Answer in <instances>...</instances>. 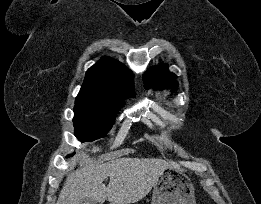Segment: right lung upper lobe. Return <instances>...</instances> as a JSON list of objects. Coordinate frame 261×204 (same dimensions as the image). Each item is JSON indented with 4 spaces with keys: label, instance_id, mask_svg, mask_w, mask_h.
Wrapping results in <instances>:
<instances>
[{
    "label": "right lung upper lobe",
    "instance_id": "cb5924a9",
    "mask_svg": "<svg viewBox=\"0 0 261 204\" xmlns=\"http://www.w3.org/2000/svg\"><path fill=\"white\" fill-rule=\"evenodd\" d=\"M133 76L119 61L103 57L86 72L76 99L97 105L122 106L125 98L134 96Z\"/></svg>",
    "mask_w": 261,
    "mask_h": 204
}]
</instances>
